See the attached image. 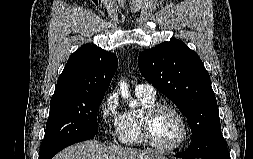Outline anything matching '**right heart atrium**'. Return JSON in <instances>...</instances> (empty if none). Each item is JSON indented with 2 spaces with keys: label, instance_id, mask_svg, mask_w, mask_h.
<instances>
[{
  "label": "right heart atrium",
  "instance_id": "obj_1",
  "mask_svg": "<svg viewBox=\"0 0 253 159\" xmlns=\"http://www.w3.org/2000/svg\"><path fill=\"white\" fill-rule=\"evenodd\" d=\"M99 116L102 123L112 136H118L122 123L123 113L120 110L117 94H108L100 103Z\"/></svg>",
  "mask_w": 253,
  "mask_h": 159
}]
</instances>
